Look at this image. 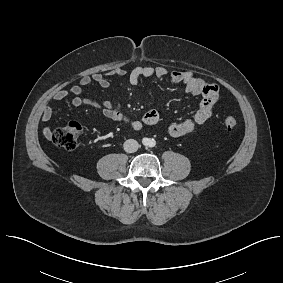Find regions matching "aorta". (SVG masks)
<instances>
[{
  "label": "aorta",
  "mask_w": 283,
  "mask_h": 283,
  "mask_svg": "<svg viewBox=\"0 0 283 283\" xmlns=\"http://www.w3.org/2000/svg\"><path fill=\"white\" fill-rule=\"evenodd\" d=\"M146 146H153L152 144H150V142H145L144 143Z\"/></svg>",
  "instance_id": "762f6f07"
}]
</instances>
